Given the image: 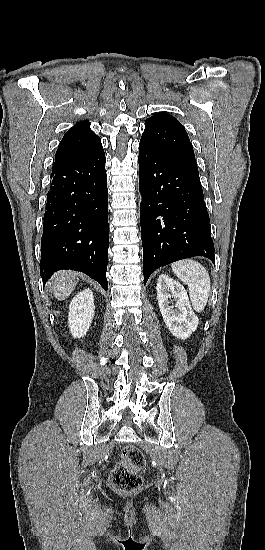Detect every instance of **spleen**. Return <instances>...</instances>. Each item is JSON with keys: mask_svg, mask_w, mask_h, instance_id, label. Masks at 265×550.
Segmentation results:
<instances>
[{"mask_svg": "<svg viewBox=\"0 0 265 550\" xmlns=\"http://www.w3.org/2000/svg\"><path fill=\"white\" fill-rule=\"evenodd\" d=\"M171 267L174 274L187 284L190 300L195 311H203L211 288L207 270L200 263L191 259L175 262Z\"/></svg>", "mask_w": 265, "mask_h": 550, "instance_id": "obj_1", "label": "spleen"}]
</instances>
